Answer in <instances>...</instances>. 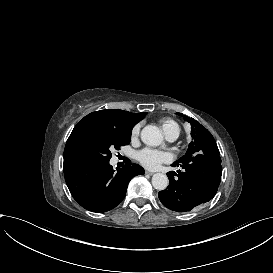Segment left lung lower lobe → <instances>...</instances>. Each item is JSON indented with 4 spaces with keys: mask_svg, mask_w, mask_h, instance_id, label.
<instances>
[{
    "mask_svg": "<svg viewBox=\"0 0 273 273\" xmlns=\"http://www.w3.org/2000/svg\"><path fill=\"white\" fill-rule=\"evenodd\" d=\"M183 171L168 172L169 185L159 192L162 204L176 212H187L211 200L221 181L220 156L197 154L172 164Z\"/></svg>",
    "mask_w": 273,
    "mask_h": 273,
    "instance_id": "left-lung-lower-lobe-1",
    "label": "left lung lower lobe"
}]
</instances>
